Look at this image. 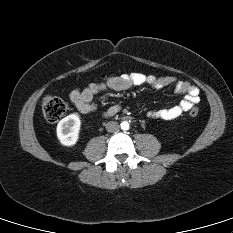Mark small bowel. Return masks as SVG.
Returning <instances> with one entry per match:
<instances>
[{
  "mask_svg": "<svg viewBox=\"0 0 233 233\" xmlns=\"http://www.w3.org/2000/svg\"><path fill=\"white\" fill-rule=\"evenodd\" d=\"M147 84L155 89H162L171 84L175 85L174 91L177 94L185 95L184 98L176 105L170 108H161L149 113L153 119L173 120L181 116L184 112L189 111L199 101V89L187 81L179 80L174 76H153L135 72L124 74L119 77L108 79L104 83H91L84 89H74L69 97L75 107L84 114L91 113L96 110V106L92 103L93 97L99 92L111 89L114 91H122L131 89L134 86ZM120 105H112L104 115L111 117L120 111Z\"/></svg>",
  "mask_w": 233,
  "mask_h": 233,
  "instance_id": "obj_1",
  "label": "small bowel"
}]
</instances>
